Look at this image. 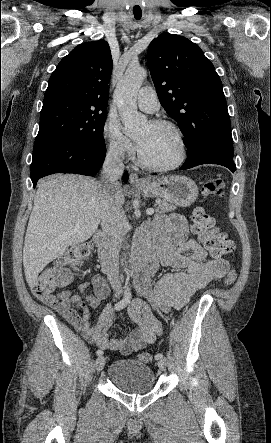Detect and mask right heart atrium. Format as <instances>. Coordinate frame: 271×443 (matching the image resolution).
Wrapping results in <instances>:
<instances>
[{
	"mask_svg": "<svg viewBox=\"0 0 271 443\" xmlns=\"http://www.w3.org/2000/svg\"><path fill=\"white\" fill-rule=\"evenodd\" d=\"M102 138L109 154L116 158H126L133 152L131 140L122 132L119 121L108 115L102 125Z\"/></svg>",
	"mask_w": 271,
	"mask_h": 443,
	"instance_id": "d8ad5b80",
	"label": "right heart atrium"
}]
</instances>
